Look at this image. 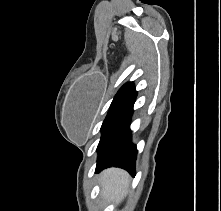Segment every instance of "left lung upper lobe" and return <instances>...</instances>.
<instances>
[{
    "label": "left lung upper lobe",
    "mask_w": 221,
    "mask_h": 211,
    "mask_svg": "<svg viewBox=\"0 0 221 211\" xmlns=\"http://www.w3.org/2000/svg\"><path fill=\"white\" fill-rule=\"evenodd\" d=\"M137 96L133 82L126 83L115 95L107 116L102 124L101 132L107 127L110 121L119 114L125 107L131 104Z\"/></svg>",
    "instance_id": "left-lung-upper-lobe-1"
}]
</instances>
